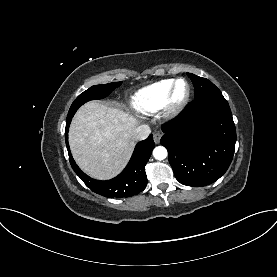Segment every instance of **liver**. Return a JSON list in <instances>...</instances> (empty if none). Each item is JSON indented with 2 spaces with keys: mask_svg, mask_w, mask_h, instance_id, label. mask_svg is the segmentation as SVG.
Returning a JSON list of instances; mask_svg holds the SVG:
<instances>
[{
  "mask_svg": "<svg viewBox=\"0 0 277 277\" xmlns=\"http://www.w3.org/2000/svg\"><path fill=\"white\" fill-rule=\"evenodd\" d=\"M138 121L127 112L91 101L75 114L69 145L78 166L89 176L108 180L118 175L135 146Z\"/></svg>",
  "mask_w": 277,
  "mask_h": 277,
  "instance_id": "obj_1",
  "label": "liver"
}]
</instances>
